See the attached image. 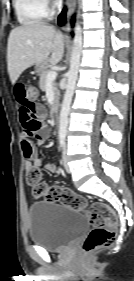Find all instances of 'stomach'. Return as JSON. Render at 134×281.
Wrapping results in <instances>:
<instances>
[{
  "label": "stomach",
  "instance_id": "obj_1",
  "mask_svg": "<svg viewBox=\"0 0 134 281\" xmlns=\"http://www.w3.org/2000/svg\"><path fill=\"white\" fill-rule=\"evenodd\" d=\"M35 69L36 72L40 74L43 70L46 69V64H37Z\"/></svg>",
  "mask_w": 134,
  "mask_h": 281
}]
</instances>
